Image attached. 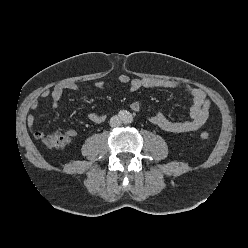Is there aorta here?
I'll list each match as a JSON object with an SVG mask.
<instances>
[{
  "mask_svg": "<svg viewBox=\"0 0 248 248\" xmlns=\"http://www.w3.org/2000/svg\"><path fill=\"white\" fill-rule=\"evenodd\" d=\"M132 120V115L130 113H128L124 119V121L126 122H130Z\"/></svg>",
  "mask_w": 248,
  "mask_h": 248,
  "instance_id": "obj_1",
  "label": "aorta"
}]
</instances>
